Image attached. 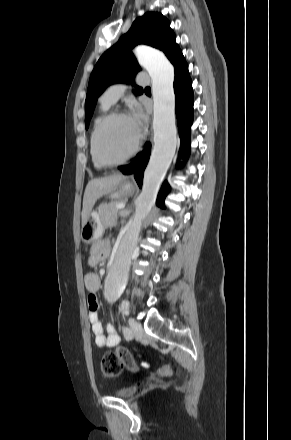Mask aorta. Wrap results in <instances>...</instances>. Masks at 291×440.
<instances>
[{
	"label": "aorta",
	"instance_id": "aorta-1",
	"mask_svg": "<svg viewBox=\"0 0 291 440\" xmlns=\"http://www.w3.org/2000/svg\"><path fill=\"white\" fill-rule=\"evenodd\" d=\"M135 54L152 81L154 146L144 172L142 191L137 199L134 218L125 226L114 248V258L104 290L109 300L120 297L126 287L131 256L137 245L142 222L154 205L177 147L174 67L163 53L155 49L138 46Z\"/></svg>",
	"mask_w": 291,
	"mask_h": 440
}]
</instances>
